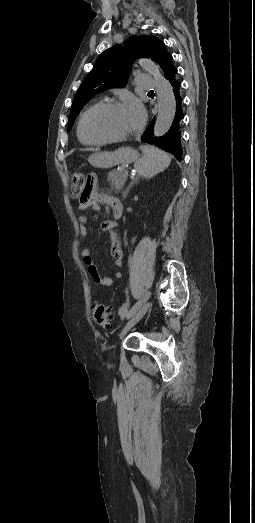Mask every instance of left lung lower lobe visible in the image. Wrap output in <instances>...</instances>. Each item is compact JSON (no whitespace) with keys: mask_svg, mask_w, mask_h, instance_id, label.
<instances>
[{"mask_svg":"<svg viewBox=\"0 0 255 523\" xmlns=\"http://www.w3.org/2000/svg\"><path fill=\"white\" fill-rule=\"evenodd\" d=\"M169 85H172L171 92L172 97L176 98L174 104L175 116L172 120V126L169 129H165V134L163 137H155L153 134V123L148 124V128L143 129L142 134H140V140L143 145H148L149 148H163L168 154H173L176 157V161H183V150L181 144V132L180 121L184 119V111H182L183 95H180L182 91V82L177 76L169 77ZM151 121H155V118H151Z\"/></svg>","mask_w":255,"mask_h":523,"instance_id":"left-lung-lower-lobe-1","label":"left lung lower lobe"}]
</instances>
